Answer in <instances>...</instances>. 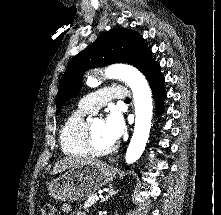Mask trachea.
Segmentation results:
<instances>
[{"label": "trachea", "instance_id": "3493384b", "mask_svg": "<svg viewBox=\"0 0 221 215\" xmlns=\"http://www.w3.org/2000/svg\"><path fill=\"white\" fill-rule=\"evenodd\" d=\"M125 101L128 102V101H130V99H129V98H126Z\"/></svg>", "mask_w": 221, "mask_h": 215}]
</instances>
